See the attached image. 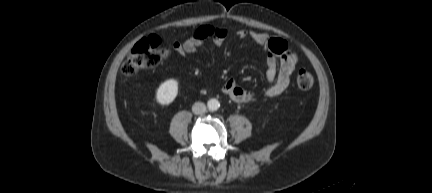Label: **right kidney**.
<instances>
[{
    "label": "right kidney",
    "mask_w": 432,
    "mask_h": 193,
    "mask_svg": "<svg viewBox=\"0 0 432 193\" xmlns=\"http://www.w3.org/2000/svg\"><path fill=\"white\" fill-rule=\"evenodd\" d=\"M177 94L178 81L175 79H168L159 86L156 99L161 105H169L175 100Z\"/></svg>",
    "instance_id": "ca27d5eb"
}]
</instances>
